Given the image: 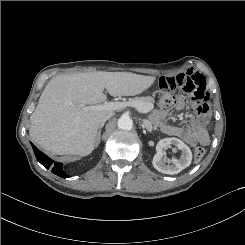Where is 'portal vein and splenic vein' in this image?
Segmentation results:
<instances>
[{
  "label": "portal vein and splenic vein",
  "mask_w": 245,
  "mask_h": 245,
  "mask_svg": "<svg viewBox=\"0 0 245 245\" xmlns=\"http://www.w3.org/2000/svg\"><path fill=\"white\" fill-rule=\"evenodd\" d=\"M135 107L137 108L140 112L146 113L149 110L148 106H137L134 105L130 102H105L104 104L101 105H94V106H88V110H93V111H98V110H119V109H124L125 107Z\"/></svg>",
  "instance_id": "portal-vein-and-splenic-vein-1"
}]
</instances>
